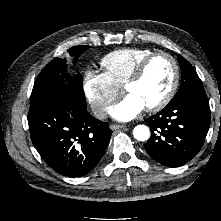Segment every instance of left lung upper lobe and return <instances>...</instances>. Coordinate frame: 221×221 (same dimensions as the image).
Returning a JSON list of instances; mask_svg holds the SVG:
<instances>
[{
	"label": "left lung upper lobe",
	"instance_id": "1",
	"mask_svg": "<svg viewBox=\"0 0 221 221\" xmlns=\"http://www.w3.org/2000/svg\"><path fill=\"white\" fill-rule=\"evenodd\" d=\"M178 61L182 72L181 85L176 96L169 102V104L176 103L186 97L206 96L202 82L192 65L180 55L178 56Z\"/></svg>",
	"mask_w": 221,
	"mask_h": 221
}]
</instances>
